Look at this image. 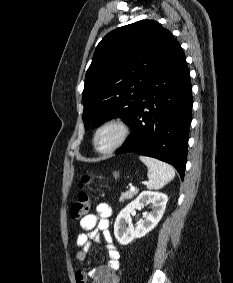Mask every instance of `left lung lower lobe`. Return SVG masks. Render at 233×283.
Wrapping results in <instances>:
<instances>
[{
  "mask_svg": "<svg viewBox=\"0 0 233 283\" xmlns=\"http://www.w3.org/2000/svg\"><path fill=\"white\" fill-rule=\"evenodd\" d=\"M192 105L190 73L177 42L149 77L129 122L132 133L116 154L157 158L173 165L183 179Z\"/></svg>",
  "mask_w": 233,
  "mask_h": 283,
  "instance_id": "0a47b994",
  "label": "left lung lower lobe"
}]
</instances>
